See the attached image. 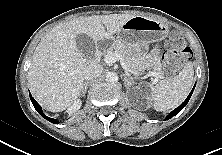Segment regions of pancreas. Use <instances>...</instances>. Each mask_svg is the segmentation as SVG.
<instances>
[{
	"mask_svg": "<svg viewBox=\"0 0 222 155\" xmlns=\"http://www.w3.org/2000/svg\"><path fill=\"white\" fill-rule=\"evenodd\" d=\"M134 50H136L135 46H126L120 42H115L111 48L106 51V54L117 52L123 57L126 65L132 70L144 64L148 69H153L155 72L161 74V65L158 61L154 62L146 57L139 59L135 56Z\"/></svg>",
	"mask_w": 222,
	"mask_h": 155,
	"instance_id": "obj_1",
	"label": "pancreas"
}]
</instances>
